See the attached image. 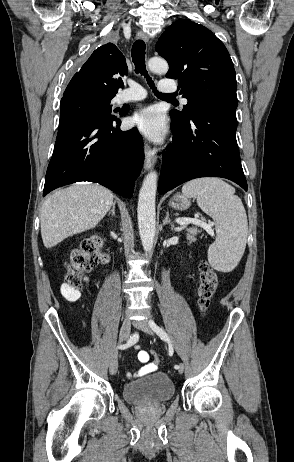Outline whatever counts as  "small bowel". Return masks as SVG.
<instances>
[{"label":"small bowel","instance_id":"obj_1","mask_svg":"<svg viewBox=\"0 0 294 462\" xmlns=\"http://www.w3.org/2000/svg\"><path fill=\"white\" fill-rule=\"evenodd\" d=\"M138 360L139 362L143 363V366L136 373H131V372L126 373V376L128 378H134V377L147 375L149 373L155 372L158 368V363L150 361L149 353L144 350H140L138 352Z\"/></svg>","mask_w":294,"mask_h":462}]
</instances>
